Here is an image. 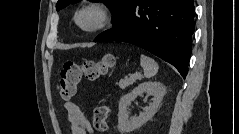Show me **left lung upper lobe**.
Here are the masks:
<instances>
[{
    "label": "left lung upper lobe",
    "instance_id": "1",
    "mask_svg": "<svg viewBox=\"0 0 239 134\" xmlns=\"http://www.w3.org/2000/svg\"><path fill=\"white\" fill-rule=\"evenodd\" d=\"M79 1L80 0H58L56 10L59 11L60 9L66 7L67 5ZM94 1L103 2L111 10L113 14L114 25L120 20L128 4L131 2V0H94Z\"/></svg>",
    "mask_w": 239,
    "mask_h": 134
}]
</instances>
